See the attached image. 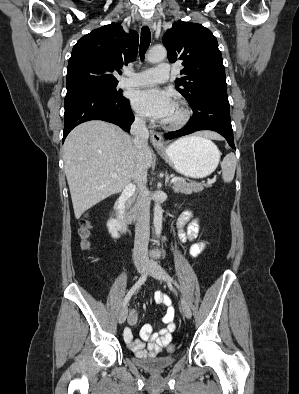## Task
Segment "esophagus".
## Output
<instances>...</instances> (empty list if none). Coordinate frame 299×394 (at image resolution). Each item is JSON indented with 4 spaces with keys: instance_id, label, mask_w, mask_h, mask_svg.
<instances>
[{
    "instance_id": "1",
    "label": "esophagus",
    "mask_w": 299,
    "mask_h": 394,
    "mask_svg": "<svg viewBox=\"0 0 299 394\" xmlns=\"http://www.w3.org/2000/svg\"><path fill=\"white\" fill-rule=\"evenodd\" d=\"M143 24L145 26L150 27V28L153 27V23L151 20H144ZM150 140L155 148H164L165 147V143L163 141L162 135L159 132L151 130L150 131Z\"/></svg>"
}]
</instances>
